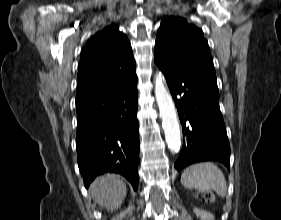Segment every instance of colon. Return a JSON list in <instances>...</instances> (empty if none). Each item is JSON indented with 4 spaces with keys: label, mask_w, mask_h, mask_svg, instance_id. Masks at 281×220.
Masks as SVG:
<instances>
[{
    "label": "colon",
    "mask_w": 281,
    "mask_h": 220,
    "mask_svg": "<svg viewBox=\"0 0 281 220\" xmlns=\"http://www.w3.org/2000/svg\"><path fill=\"white\" fill-rule=\"evenodd\" d=\"M198 197L204 202H213L215 200V196L212 192H202L198 194Z\"/></svg>",
    "instance_id": "1"
}]
</instances>
